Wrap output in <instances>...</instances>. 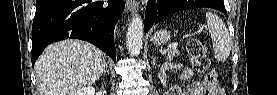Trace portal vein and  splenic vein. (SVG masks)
Wrapping results in <instances>:
<instances>
[{"instance_id":"obj_1","label":"portal vein and splenic vein","mask_w":277,"mask_h":95,"mask_svg":"<svg viewBox=\"0 0 277 95\" xmlns=\"http://www.w3.org/2000/svg\"><path fill=\"white\" fill-rule=\"evenodd\" d=\"M178 47V43H172L168 46V50L176 49Z\"/></svg>"}]
</instances>
